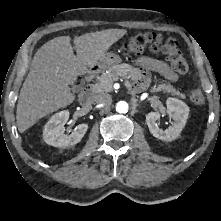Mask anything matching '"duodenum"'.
I'll list each match as a JSON object with an SVG mask.
<instances>
[{"label":"duodenum","mask_w":221,"mask_h":221,"mask_svg":"<svg viewBox=\"0 0 221 221\" xmlns=\"http://www.w3.org/2000/svg\"><path fill=\"white\" fill-rule=\"evenodd\" d=\"M97 71V67H94L90 70L89 74L87 75V80L90 79L91 75L95 74ZM92 98V89H91V86L90 84H85L83 89H82V92L80 94V100L83 104H86L88 103Z\"/></svg>","instance_id":"410a0bca"}]
</instances>
